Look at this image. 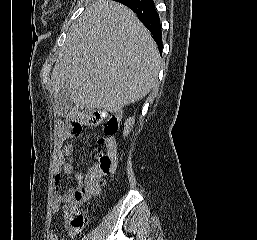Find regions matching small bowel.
Returning a JSON list of instances; mask_svg holds the SVG:
<instances>
[{
    "instance_id": "obj_1",
    "label": "small bowel",
    "mask_w": 257,
    "mask_h": 240,
    "mask_svg": "<svg viewBox=\"0 0 257 240\" xmlns=\"http://www.w3.org/2000/svg\"><path fill=\"white\" fill-rule=\"evenodd\" d=\"M81 131H74L69 127L59 128L56 134L55 140V153H54V169H53V180L56 188L58 187L62 175H72L75 170L74 161L72 159L73 148L69 143L71 139L81 134ZM105 146L107 152L116 159L117 157V145L113 137L108 138L105 141ZM85 178L84 174L81 172L75 173V180L77 182H82ZM72 193V189L66 190L64 193L58 194L56 199L53 201L50 209V219L58 213L59 204L67 203L69 196ZM67 234L69 236H74L77 231L67 227ZM47 240H65L64 237L59 233L53 226L48 228Z\"/></svg>"
}]
</instances>
